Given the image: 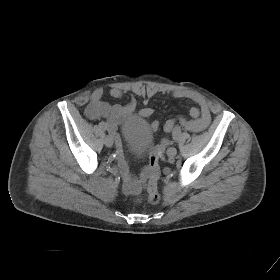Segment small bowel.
<instances>
[{"label":"small bowel","mask_w":280,"mask_h":280,"mask_svg":"<svg viewBox=\"0 0 280 280\" xmlns=\"http://www.w3.org/2000/svg\"><path fill=\"white\" fill-rule=\"evenodd\" d=\"M109 95L112 98H120L123 96V91L118 88H113L109 91ZM175 98H187L197 103L198 107H192L189 110L190 118L178 117L168 120L164 125V130L170 133L172 127L176 123L182 124L187 130L191 132H201L205 130L211 122V112L208 102L201 95L191 91H175L173 93ZM137 102L132 98L127 104H109L103 100V90L96 89L91 97L90 101L85 108V115L89 119L105 118L107 121V128L113 135L116 134L118 125L125 120L131 113L135 111ZM141 115L144 117H150L153 115V109L146 107L141 110ZM159 123L153 122L152 127L157 128ZM168 144L167 139H163L159 148L163 149ZM120 170L124 177L125 189L127 192L135 191L139 188L140 181L143 180L148 171L141 173L140 177H135L131 174L129 164L125 159H121Z\"/></svg>","instance_id":"c3829d8e"}]
</instances>
